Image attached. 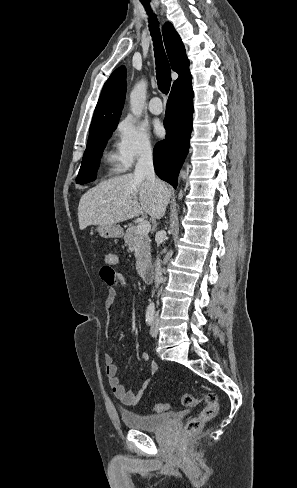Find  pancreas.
<instances>
[{
  "label": "pancreas",
  "mask_w": 297,
  "mask_h": 488,
  "mask_svg": "<svg viewBox=\"0 0 297 488\" xmlns=\"http://www.w3.org/2000/svg\"><path fill=\"white\" fill-rule=\"evenodd\" d=\"M124 240L129 248H133L135 246L138 247L139 259L136 263L137 270H140L143 266H146L150 263L151 240L148 234H138L136 232V226H134L133 224H129V227L127 228L124 236Z\"/></svg>",
  "instance_id": "1"
}]
</instances>
